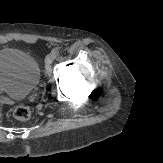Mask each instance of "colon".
I'll return each instance as SVG.
<instances>
[{
	"mask_svg": "<svg viewBox=\"0 0 163 163\" xmlns=\"http://www.w3.org/2000/svg\"><path fill=\"white\" fill-rule=\"evenodd\" d=\"M13 114L18 120H27L31 116V110L27 106L20 105L14 109Z\"/></svg>",
	"mask_w": 163,
	"mask_h": 163,
	"instance_id": "5ec220e1",
	"label": "colon"
}]
</instances>
